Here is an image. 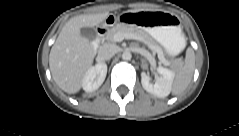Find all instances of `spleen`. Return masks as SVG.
<instances>
[{
	"mask_svg": "<svg viewBox=\"0 0 239 136\" xmlns=\"http://www.w3.org/2000/svg\"><path fill=\"white\" fill-rule=\"evenodd\" d=\"M194 68H195L194 52L192 51V49H188L186 53L185 64L183 68L176 74L173 83L172 93L174 95H180L186 90V88L191 82Z\"/></svg>",
	"mask_w": 239,
	"mask_h": 136,
	"instance_id": "spleen-1",
	"label": "spleen"
}]
</instances>
